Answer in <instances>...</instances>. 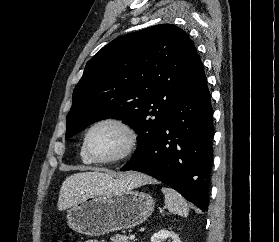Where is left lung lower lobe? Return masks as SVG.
Here are the masks:
<instances>
[{
  "label": "left lung lower lobe",
  "instance_id": "obj_1",
  "mask_svg": "<svg viewBox=\"0 0 279 242\" xmlns=\"http://www.w3.org/2000/svg\"><path fill=\"white\" fill-rule=\"evenodd\" d=\"M210 92L198 58L158 138L121 171L149 174L178 191L202 211L208 210L213 120Z\"/></svg>",
  "mask_w": 279,
  "mask_h": 242
}]
</instances>
